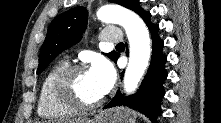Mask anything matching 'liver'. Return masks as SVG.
Returning <instances> with one entry per match:
<instances>
[{
	"label": "liver",
	"instance_id": "6515ba94",
	"mask_svg": "<svg viewBox=\"0 0 221 123\" xmlns=\"http://www.w3.org/2000/svg\"><path fill=\"white\" fill-rule=\"evenodd\" d=\"M70 122H71V123H74V122H76V123H82V122H84V120L78 119V120H71Z\"/></svg>",
	"mask_w": 221,
	"mask_h": 123
}]
</instances>
